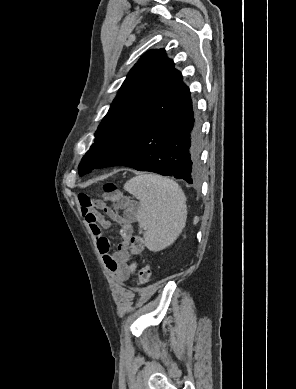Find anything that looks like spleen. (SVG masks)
<instances>
[{"label": "spleen", "instance_id": "3e777b00", "mask_svg": "<svg viewBox=\"0 0 296 389\" xmlns=\"http://www.w3.org/2000/svg\"><path fill=\"white\" fill-rule=\"evenodd\" d=\"M124 189L140 201L137 211L144 244L150 251H160L171 245L186 224V197L172 179L156 174L131 178Z\"/></svg>", "mask_w": 296, "mask_h": 389}]
</instances>
